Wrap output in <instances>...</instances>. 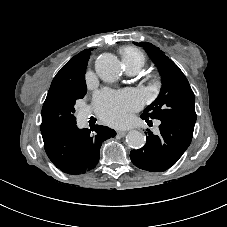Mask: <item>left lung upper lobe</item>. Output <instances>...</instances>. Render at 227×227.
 <instances>
[{
    "label": "left lung upper lobe",
    "instance_id": "1",
    "mask_svg": "<svg viewBox=\"0 0 227 227\" xmlns=\"http://www.w3.org/2000/svg\"><path fill=\"white\" fill-rule=\"evenodd\" d=\"M136 44L147 51L162 77L158 97L144 110L142 116L151 119L178 118L195 123V95L183 72L158 47L148 42Z\"/></svg>",
    "mask_w": 227,
    "mask_h": 227
}]
</instances>
